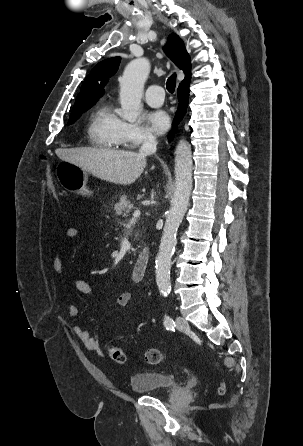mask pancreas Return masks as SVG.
<instances>
[{
    "mask_svg": "<svg viewBox=\"0 0 303 446\" xmlns=\"http://www.w3.org/2000/svg\"><path fill=\"white\" fill-rule=\"evenodd\" d=\"M133 205L129 200H127L126 196H122L114 206V211L116 215L121 216L123 218L127 217L130 213Z\"/></svg>",
    "mask_w": 303,
    "mask_h": 446,
    "instance_id": "obj_1",
    "label": "pancreas"
}]
</instances>
